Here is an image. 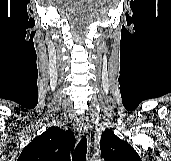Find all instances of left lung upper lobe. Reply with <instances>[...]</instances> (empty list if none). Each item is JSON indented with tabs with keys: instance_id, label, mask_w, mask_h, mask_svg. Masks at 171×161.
<instances>
[{
	"instance_id": "left-lung-upper-lobe-1",
	"label": "left lung upper lobe",
	"mask_w": 171,
	"mask_h": 161,
	"mask_svg": "<svg viewBox=\"0 0 171 161\" xmlns=\"http://www.w3.org/2000/svg\"><path fill=\"white\" fill-rule=\"evenodd\" d=\"M100 149L105 161H141L137 152L128 142L118 138L109 129L101 135Z\"/></svg>"
}]
</instances>
